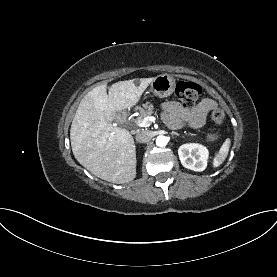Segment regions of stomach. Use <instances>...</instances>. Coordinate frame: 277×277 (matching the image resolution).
<instances>
[{"mask_svg":"<svg viewBox=\"0 0 277 277\" xmlns=\"http://www.w3.org/2000/svg\"><path fill=\"white\" fill-rule=\"evenodd\" d=\"M175 89V79L169 74H162L155 77L151 83L150 91L158 97H167Z\"/></svg>","mask_w":277,"mask_h":277,"instance_id":"obj_1","label":"stomach"}]
</instances>
